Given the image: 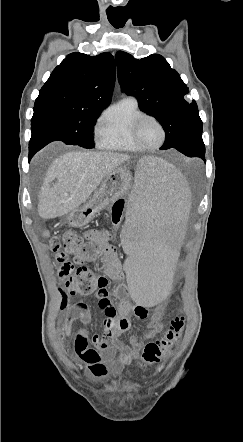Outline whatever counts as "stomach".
<instances>
[{
  "label": "stomach",
  "instance_id": "obj_1",
  "mask_svg": "<svg viewBox=\"0 0 243 442\" xmlns=\"http://www.w3.org/2000/svg\"><path fill=\"white\" fill-rule=\"evenodd\" d=\"M131 173L125 167L111 172L96 190L92 198L66 215V222L72 227H81L90 222L106 206L123 197L130 190Z\"/></svg>",
  "mask_w": 243,
  "mask_h": 442
}]
</instances>
